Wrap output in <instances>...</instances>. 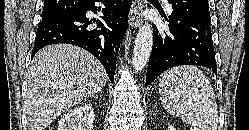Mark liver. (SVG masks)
I'll use <instances>...</instances> for the list:
<instances>
[{"label":"liver","instance_id":"6515ba94","mask_svg":"<svg viewBox=\"0 0 249 130\" xmlns=\"http://www.w3.org/2000/svg\"><path fill=\"white\" fill-rule=\"evenodd\" d=\"M28 73L25 112L29 130H44L59 115L101 91L108 79L93 55L68 44L41 49Z\"/></svg>","mask_w":249,"mask_h":130}]
</instances>
